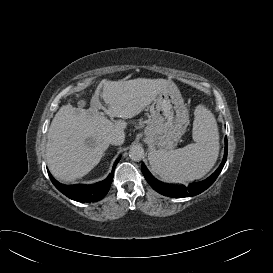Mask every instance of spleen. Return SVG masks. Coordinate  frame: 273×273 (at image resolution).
Instances as JSON below:
<instances>
[{"mask_svg": "<svg viewBox=\"0 0 273 273\" xmlns=\"http://www.w3.org/2000/svg\"><path fill=\"white\" fill-rule=\"evenodd\" d=\"M195 143L175 150H157L149 155L152 171L163 180L185 182L203 177L219 154V133L214 115L204 106L195 109Z\"/></svg>", "mask_w": 273, "mask_h": 273, "instance_id": "3e777b00", "label": "spleen"}]
</instances>
